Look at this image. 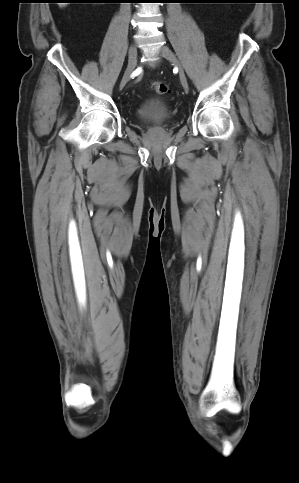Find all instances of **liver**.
Listing matches in <instances>:
<instances>
[{"mask_svg": "<svg viewBox=\"0 0 299 483\" xmlns=\"http://www.w3.org/2000/svg\"><path fill=\"white\" fill-rule=\"evenodd\" d=\"M66 3H59L60 7L64 6Z\"/></svg>", "mask_w": 299, "mask_h": 483, "instance_id": "1", "label": "liver"}]
</instances>
